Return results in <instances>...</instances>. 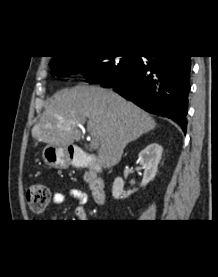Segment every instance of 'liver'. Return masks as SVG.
Segmentation results:
<instances>
[{"mask_svg":"<svg viewBox=\"0 0 218 277\" xmlns=\"http://www.w3.org/2000/svg\"><path fill=\"white\" fill-rule=\"evenodd\" d=\"M99 141L98 162L104 168L116 165L128 143L156 127L155 120L135 104L99 86H75L57 92L32 128L34 139L65 147L79 141L81 132L71 121L84 122Z\"/></svg>","mask_w":218,"mask_h":277,"instance_id":"1","label":"liver"}]
</instances>
